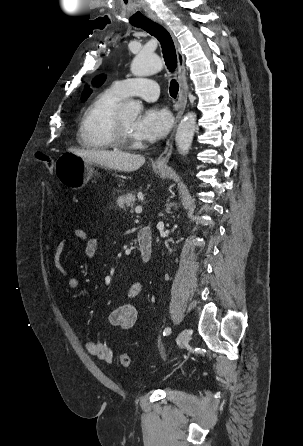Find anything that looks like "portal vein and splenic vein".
Masks as SVG:
<instances>
[{"mask_svg": "<svg viewBox=\"0 0 303 446\" xmlns=\"http://www.w3.org/2000/svg\"><path fill=\"white\" fill-rule=\"evenodd\" d=\"M135 212L136 213H141L142 212V206H137L136 208H135Z\"/></svg>", "mask_w": 303, "mask_h": 446, "instance_id": "1", "label": "portal vein and splenic vein"}]
</instances>
